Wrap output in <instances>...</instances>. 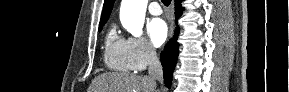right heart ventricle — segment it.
I'll list each match as a JSON object with an SVG mask.
<instances>
[{
  "instance_id": "1",
  "label": "right heart ventricle",
  "mask_w": 289,
  "mask_h": 92,
  "mask_svg": "<svg viewBox=\"0 0 289 92\" xmlns=\"http://www.w3.org/2000/svg\"><path fill=\"white\" fill-rule=\"evenodd\" d=\"M104 60L111 70L119 72L133 70L128 59L126 40L118 36L114 27L108 31L105 38Z\"/></svg>"
}]
</instances>
